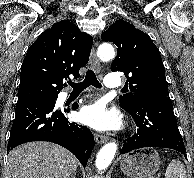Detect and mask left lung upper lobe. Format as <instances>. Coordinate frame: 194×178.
<instances>
[{
  "label": "left lung upper lobe",
  "instance_id": "5c2ea615",
  "mask_svg": "<svg viewBox=\"0 0 194 178\" xmlns=\"http://www.w3.org/2000/svg\"><path fill=\"white\" fill-rule=\"evenodd\" d=\"M101 38L117 46L111 70L124 72L131 91L120 96V107L131 111L139 98L170 99L161 55L147 34L120 19Z\"/></svg>",
  "mask_w": 194,
  "mask_h": 178
}]
</instances>
